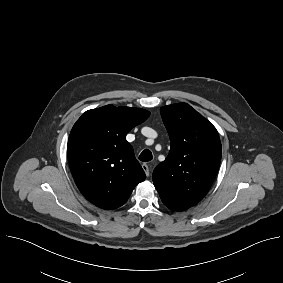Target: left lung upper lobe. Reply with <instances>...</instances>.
<instances>
[{
	"mask_svg": "<svg viewBox=\"0 0 283 283\" xmlns=\"http://www.w3.org/2000/svg\"><path fill=\"white\" fill-rule=\"evenodd\" d=\"M170 151L153 172L164 205L184 211L203 199L219 169L222 147L215 127L187 103L161 107Z\"/></svg>",
	"mask_w": 283,
	"mask_h": 283,
	"instance_id": "1",
	"label": "left lung upper lobe"
}]
</instances>
